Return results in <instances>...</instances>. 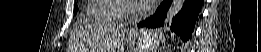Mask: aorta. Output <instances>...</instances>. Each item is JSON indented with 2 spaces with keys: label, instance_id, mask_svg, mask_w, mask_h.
Listing matches in <instances>:
<instances>
[{
  "label": "aorta",
  "instance_id": "obj_1",
  "mask_svg": "<svg viewBox=\"0 0 261 52\" xmlns=\"http://www.w3.org/2000/svg\"><path fill=\"white\" fill-rule=\"evenodd\" d=\"M185 0H173L169 9L167 10L166 17L164 18L166 24L172 22L173 17H175L183 8Z\"/></svg>",
  "mask_w": 261,
  "mask_h": 52
}]
</instances>
